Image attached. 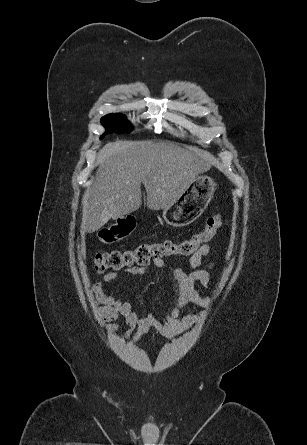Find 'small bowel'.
<instances>
[{"label":"small bowel","instance_id":"1","mask_svg":"<svg viewBox=\"0 0 307 445\" xmlns=\"http://www.w3.org/2000/svg\"><path fill=\"white\" fill-rule=\"evenodd\" d=\"M209 252L210 245L204 244L190 257L189 264L192 268L190 272H186L178 267L172 269L173 277L178 285L179 295L176 305L162 321L157 320L151 313L139 317L135 312L132 302L124 301L119 297L105 292L104 286L119 278L117 272L106 273L102 280L96 281L93 285L97 301L101 305L99 313L103 320L112 322L119 316H122L127 328L124 334L125 339H128L133 333H136L137 337H141L149 333L152 328H155L160 335L172 339L191 329L200 321L201 313L187 314L184 316H181V314L189 303L203 308L209 305V301L195 288V284L199 282L205 288L213 290L209 270L214 267V264L209 263L203 267V258L207 256ZM152 264L156 268L165 267V262L162 259H154ZM146 272L147 269L144 267H131L126 270V273L131 276H141Z\"/></svg>","mask_w":307,"mask_h":445}]
</instances>
